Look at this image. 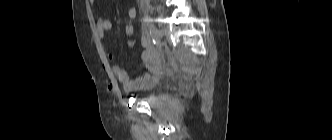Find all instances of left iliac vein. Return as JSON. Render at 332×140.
I'll return each instance as SVG.
<instances>
[{"label":"left iliac vein","mask_w":332,"mask_h":140,"mask_svg":"<svg viewBox=\"0 0 332 140\" xmlns=\"http://www.w3.org/2000/svg\"><path fill=\"white\" fill-rule=\"evenodd\" d=\"M162 35H163L162 31L160 29H158V28L155 27V29H154V37H155V39L157 41H160L161 38H162Z\"/></svg>","instance_id":"left-iliac-vein-1"}]
</instances>
